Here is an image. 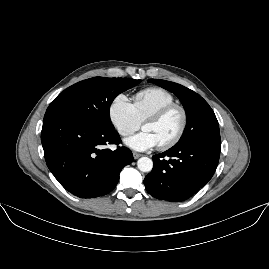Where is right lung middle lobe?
I'll use <instances>...</instances> for the list:
<instances>
[{
  "label": "right lung middle lobe",
  "instance_id": "1",
  "mask_svg": "<svg viewBox=\"0 0 269 269\" xmlns=\"http://www.w3.org/2000/svg\"><path fill=\"white\" fill-rule=\"evenodd\" d=\"M140 82L130 78L93 77L65 89L48 108L68 112L98 127L114 128L108 117L112 101Z\"/></svg>",
  "mask_w": 269,
  "mask_h": 269
}]
</instances>
